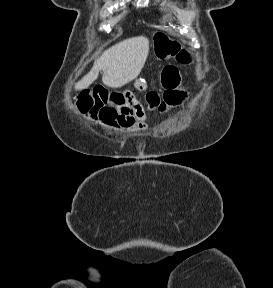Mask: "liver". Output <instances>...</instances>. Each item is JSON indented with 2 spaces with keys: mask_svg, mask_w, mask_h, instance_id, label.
<instances>
[{
  "mask_svg": "<svg viewBox=\"0 0 273 288\" xmlns=\"http://www.w3.org/2000/svg\"><path fill=\"white\" fill-rule=\"evenodd\" d=\"M149 53V40L144 36L132 37L110 47L94 62L92 69L75 90L87 89L103 71L102 82L111 88H120L140 74Z\"/></svg>",
  "mask_w": 273,
  "mask_h": 288,
  "instance_id": "6515ba94",
  "label": "liver"
}]
</instances>
